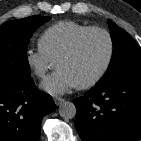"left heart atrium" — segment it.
<instances>
[{
	"instance_id": "39dd6f15",
	"label": "left heart atrium",
	"mask_w": 141,
	"mask_h": 141,
	"mask_svg": "<svg viewBox=\"0 0 141 141\" xmlns=\"http://www.w3.org/2000/svg\"><path fill=\"white\" fill-rule=\"evenodd\" d=\"M76 86L75 79L64 69H58L40 84V88L51 95H63Z\"/></svg>"
}]
</instances>
